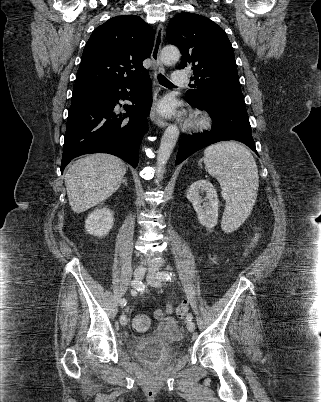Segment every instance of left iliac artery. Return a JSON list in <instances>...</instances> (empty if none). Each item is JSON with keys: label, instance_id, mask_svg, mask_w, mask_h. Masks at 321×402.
Here are the masks:
<instances>
[{"label": "left iliac artery", "instance_id": "left-iliac-artery-1", "mask_svg": "<svg viewBox=\"0 0 321 402\" xmlns=\"http://www.w3.org/2000/svg\"><path fill=\"white\" fill-rule=\"evenodd\" d=\"M173 274L171 273V272H161V273H159L158 275H157V278L159 279V280H166V281H171V279L173 278ZM186 319L187 320H192L193 319V316H192V314H188L187 315V317H186Z\"/></svg>", "mask_w": 321, "mask_h": 402}]
</instances>
